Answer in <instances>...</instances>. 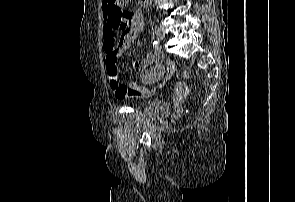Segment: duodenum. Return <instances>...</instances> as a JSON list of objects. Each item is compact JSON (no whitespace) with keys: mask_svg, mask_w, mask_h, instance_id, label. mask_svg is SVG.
Wrapping results in <instances>:
<instances>
[{"mask_svg":"<svg viewBox=\"0 0 295 202\" xmlns=\"http://www.w3.org/2000/svg\"><path fill=\"white\" fill-rule=\"evenodd\" d=\"M140 1H141L142 5H144V6H145V5H147V4H148V1H149V0H140Z\"/></svg>","mask_w":295,"mask_h":202,"instance_id":"1","label":"duodenum"}]
</instances>
